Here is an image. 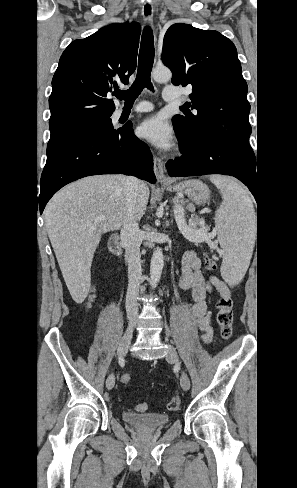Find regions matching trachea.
<instances>
[{"mask_svg": "<svg viewBox=\"0 0 297 488\" xmlns=\"http://www.w3.org/2000/svg\"><path fill=\"white\" fill-rule=\"evenodd\" d=\"M154 62V39L150 27L143 30L136 79L126 91H119L115 94L118 99L125 100V104H133L136 98L147 87L153 90L151 83V71Z\"/></svg>", "mask_w": 297, "mask_h": 488, "instance_id": "3493384b", "label": "trachea"}]
</instances>
